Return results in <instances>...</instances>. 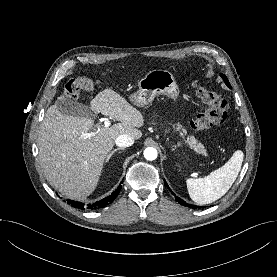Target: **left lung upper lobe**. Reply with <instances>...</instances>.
Returning a JSON list of instances; mask_svg holds the SVG:
<instances>
[{
    "mask_svg": "<svg viewBox=\"0 0 277 277\" xmlns=\"http://www.w3.org/2000/svg\"><path fill=\"white\" fill-rule=\"evenodd\" d=\"M221 77L225 81L226 85L230 88V83H229L227 77L224 74H221Z\"/></svg>",
    "mask_w": 277,
    "mask_h": 277,
    "instance_id": "left-lung-upper-lobe-1",
    "label": "left lung upper lobe"
}]
</instances>
